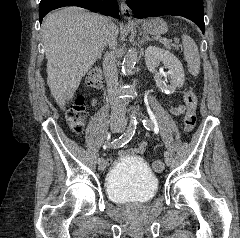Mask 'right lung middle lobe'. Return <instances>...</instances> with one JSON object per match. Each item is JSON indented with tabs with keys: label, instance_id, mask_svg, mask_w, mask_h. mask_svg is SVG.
Returning <instances> with one entry per match:
<instances>
[{
	"label": "right lung middle lobe",
	"instance_id": "dd1d6c3e",
	"mask_svg": "<svg viewBox=\"0 0 240 238\" xmlns=\"http://www.w3.org/2000/svg\"><path fill=\"white\" fill-rule=\"evenodd\" d=\"M50 1H51V0H41V1H40V4H39V9L45 7L46 4H47L48 2H50Z\"/></svg>",
	"mask_w": 240,
	"mask_h": 238
}]
</instances>
